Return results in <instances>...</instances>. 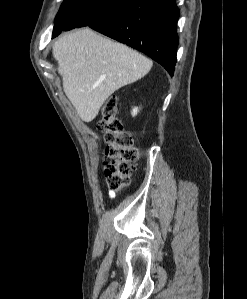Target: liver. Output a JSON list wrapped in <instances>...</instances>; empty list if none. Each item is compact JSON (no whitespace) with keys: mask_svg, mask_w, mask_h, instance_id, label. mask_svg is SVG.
<instances>
[{"mask_svg":"<svg viewBox=\"0 0 247 299\" xmlns=\"http://www.w3.org/2000/svg\"><path fill=\"white\" fill-rule=\"evenodd\" d=\"M53 56L64 92L84 122L94 120L116 90L141 79L152 67L147 57L90 28L61 36Z\"/></svg>","mask_w":247,"mask_h":299,"instance_id":"liver-1","label":"liver"}]
</instances>
